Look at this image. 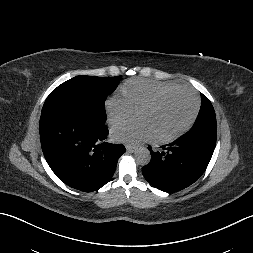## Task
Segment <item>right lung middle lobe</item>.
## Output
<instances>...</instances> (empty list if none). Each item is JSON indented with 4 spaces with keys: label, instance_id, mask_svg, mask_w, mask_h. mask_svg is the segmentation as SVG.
Here are the masks:
<instances>
[{
    "label": "right lung middle lobe",
    "instance_id": "dd1d6c3e",
    "mask_svg": "<svg viewBox=\"0 0 253 253\" xmlns=\"http://www.w3.org/2000/svg\"><path fill=\"white\" fill-rule=\"evenodd\" d=\"M120 80V76H76L51 92L43 105L42 113L68 110L105 123V100L115 91Z\"/></svg>",
    "mask_w": 253,
    "mask_h": 253
}]
</instances>
